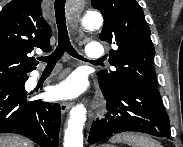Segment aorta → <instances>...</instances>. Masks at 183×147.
<instances>
[{
  "label": "aorta",
  "instance_id": "762f6f07",
  "mask_svg": "<svg viewBox=\"0 0 183 147\" xmlns=\"http://www.w3.org/2000/svg\"><path fill=\"white\" fill-rule=\"evenodd\" d=\"M82 26L87 30L102 26L103 18L98 12H87L80 18ZM86 121V108L77 104L70 111L68 127L64 136V147H83V127Z\"/></svg>",
  "mask_w": 183,
  "mask_h": 147
}]
</instances>
